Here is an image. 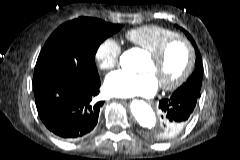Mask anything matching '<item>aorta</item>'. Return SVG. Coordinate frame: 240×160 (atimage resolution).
I'll return each instance as SVG.
<instances>
[{"instance_id": "1", "label": "aorta", "mask_w": 240, "mask_h": 160, "mask_svg": "<svg viewBox=\"0 0 240 160\" xmlns=\"http://www.w3.org/2000/svg\"><path fill=\"white\" fill-rule=\"evenodd\" d=\"M130 109L133 116L142 127L147 129L155 127L156 115L147 103L142 100H134L130 104Z\"/></svg>"}]
</instances>
